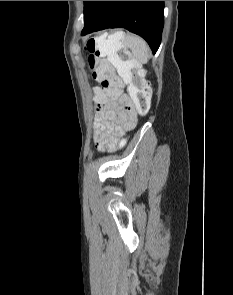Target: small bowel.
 <instances>
[{
    "mask_svg": "<svg viewBox=\"0 0 233 295\" xmlns=\"http://www.w3.org/2000/svg\"><path fill=\"white\" fill-rule=\"evenodd\" d=\"M94 141L98 149L114 148L120 137L137 122L133 100L122 91L118 95L96 94Z\"/></svg>",
    "mask_w": 233,
    "mask_h": 295,
    "instance_id": "small-bowel-1",
    "label": "small bowel"
}]
</instances>
